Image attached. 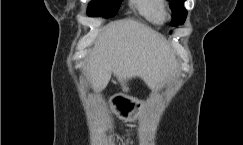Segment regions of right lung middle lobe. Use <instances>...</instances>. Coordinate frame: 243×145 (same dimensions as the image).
Masks as SVG:
<instances>
[{"instance_id":"dd1d6c3e","label":"right lung middle lobe","mask_w":243,"mask_h":145,"mask_svg":"<svg viewBox=\"0 0 243 145\" xmlns=\"http://www.w3.org/2000/svg\"><path fill=\"white\" fill-rule=\"evenodd\" d=\"M122 0H92L88 6L89 16L113 17L121 4Z\"/></svg>"}]
</instances>
